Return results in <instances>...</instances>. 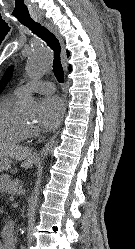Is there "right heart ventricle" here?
<instances>
[{"label":"right heart ventricle","instance_id":"right-heart-ventricle-1","mask_svg":"<svg viewBox=\"0 0 135 249\" xmlns=\"http://www.w3.org/2000/svg\"><path fill=\"white\" fill-rule=\"evenodd\" d=\"M20 97L15 93L0 102V142L15 144L28 136V127L15 114Z\"/></svg>","mask_w":135,"mask_h":249}]
</instances>
